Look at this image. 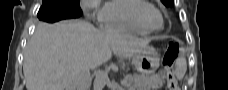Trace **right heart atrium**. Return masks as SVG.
I'll return each mask as SVG.
<instances>
[{
  "instance_id": "d8ad5b80",
  "label": "right heart atrium",
  "mask_w": 228,
  "mask_h": 90,
  "mask_svg": "<svg viewBox=\"0 0 228 90\" xmlns=\"http://www.w3.org/2000/svg\"><path fill=\"white\" fill-rule=\"evenodd\" d=\"M84 12L90 19L102 21L103 11L100 8V0H83L81 2Z\"/></svg>"
}]
</instances>
